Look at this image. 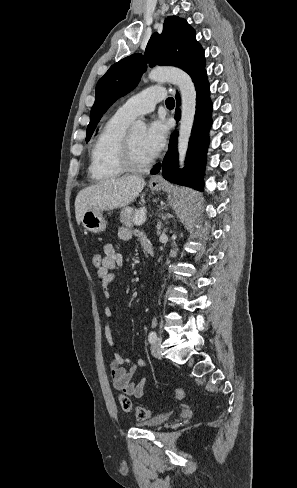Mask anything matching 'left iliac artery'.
Returning <instances> with one entry per match:
<instances>
[{"mask_svg": "<svg viewBox=\"0 0 297 488\" xmlns=\"http://www.w3.org/2000/svg\"><path fill=\"white\" fill-rule=\"evenodd\" d=\"M157 338V334L155 331H151L148 335V340L150 343H153Z\"/></svg>", "mask_w": 297, "mask_h": 488, "instance_id": "left-iliac-artery-1", "label": "left iliac artery"}]
</instances>
